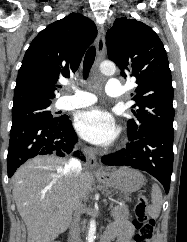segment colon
<instances>
[{
    "mask_svg": "<svg viewBox=\"0 0 187 242\" xmlns=\"http://www.w3.org/2000/svg\"><path fill=\"white\" fill-rule=\"evenodd\" d=\"M148 201L144 195L137 199L134 226L138 230L133 242H150L155 232V221L148 216Z\"/></svg>",
    "mask_w": 187,
    "mask_h": 242,
    "instance_id": "obj_1",
    "label": "colon"
}]
</instances>
